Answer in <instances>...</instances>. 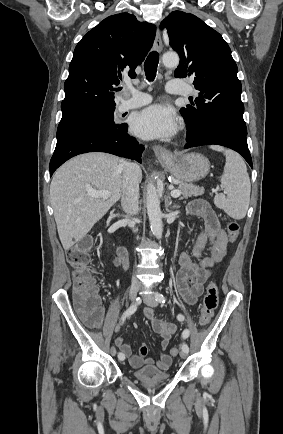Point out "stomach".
I'll list each match as a JSON object with an SVG mask.
<instances>
[{
	"mask_svg": "<svg viewBox=\"0 0 283 434\" xmlns=\"http://www.w3.org/2000/svg\"><path fill=\"white\" fill-rule=\"evenodd\" d=\"M171 174L185 183L196 182L204 178L210 170L209 160L199 153H187L162 160Z\"/></svg>",
	"mask_w": 283,
	"mask_h": 434,
	"instance_id": "1",
	"label": "stomach"
}]
</instances>
